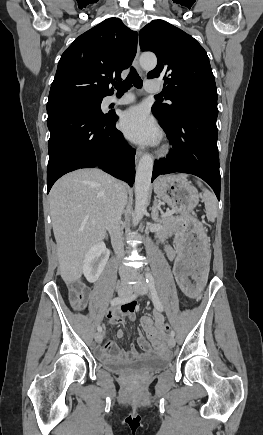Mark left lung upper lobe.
<instances>
[{"label":"left lung upper lobe","instance_id":"5c2ea615","mask_svg":"<svg viewBox=\"0 0 263 435\" xmlns=\"http://www.w3.org/2000/svg\"><path fill=\"white\" fill-rule=\"evenodd\" d=\"M142 51L157 56V66L148 79L162 78L163 93L170 104L155 103L153 114L166 124L182 115L217 118V91L209 58L203 47L181 29L155 20L139 32Z\"/></svg>","mask_w":263,"mask_h":435}]
</instances>
